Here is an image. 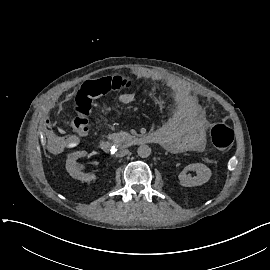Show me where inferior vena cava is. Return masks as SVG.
<instances>
[{
  "label": "inferior vena cava",
  "instance_id": "obj_1",
  "mask_svg": "<svg viewBox=\"0 0 270 270\" xmlns=\"http://www.w3.org/2000/svg\"><path fill=\"white\" fill-rule=\"evenodd\" d=\"M129 153V150L123 149L116 153V157H123Z\"/></svg>",
  "mask_w": 270,
  "mask_h": 270
}]
</instances>
